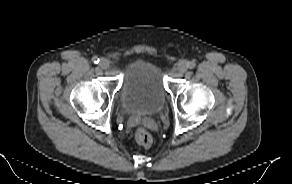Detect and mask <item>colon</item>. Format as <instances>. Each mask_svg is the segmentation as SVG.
I'll return each instance as SVG.
<instances>
[{
    "instance_id": "1",
    "label": "colon",
    "mask_w": 292,
    "mask_h": 184,
    "mask_svg": "<svg viewBox=\"0 0 292 184\" xmlns=\"http://www.w3.org/2000/svg\"><path fill=\"white\" fill-rule=\"evenodd\" d=\"M135 140L139 145L148 147L153 143V138L150 132L145 128H139L135 132Z\"/></svg>"
}]
</instances>
